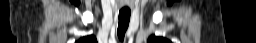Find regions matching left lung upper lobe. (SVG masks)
Masks as SVG:
<instances>
[{"label":"left lung upper lobe","mask_w":256,"mask_h":43,"mask_svg":"<svg viewBox=\"0 0 256 43\" xmlns=\"http://www.w3.org/2000/svg\"><path fill=\"white\" fill-rule=\"evenodd\" d=\"M148 43H170V41L164 39L163 37H156L153 35L148 39Z\"/></svg>","instance_id":"obj_1"}]
</instances>
